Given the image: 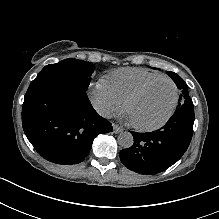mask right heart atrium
I'll list each match as a JSON object with an SVG mask.
<instances>
[{
    "mask_svg": "<svg viewBox=\"0 0 219 219\" xmlns=\"http://www.w3.org/2000/svg\"><path fill=\"white\" fill-rule=\"evenodd\" d=\"M89 97L96 111L105 118H111L123 111V104L113 95L105 81L91 86Z\"/></svg>",
    "mask_w": 219,
    "mask_h": 219,
    "instance_id": "d8ad5b80",
    "label": "right heart atrium"
}]
</instances>
